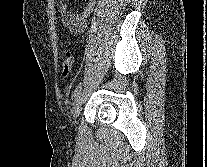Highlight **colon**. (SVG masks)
Segmentation results:
<instances>
[{
	"instance_id": "5ec220e1",
	"label": "colon",
	"mask_w": 207,
	"mask_h": 167,
	"mask_svg": "<svg viewBox=\"0 0 207 167\" xmlns=\"http://www.w3.org/2000/svg\"><path fill=\"white\" fill-rule=\"evenodd\" d=\"M74 65H75V57L73 54L68 53L62 64V71L64 76H68L72 73Z\"/></svg>"
}]
</instances>
